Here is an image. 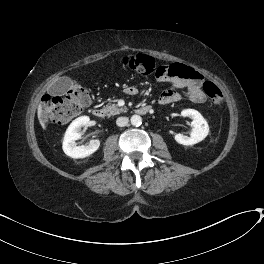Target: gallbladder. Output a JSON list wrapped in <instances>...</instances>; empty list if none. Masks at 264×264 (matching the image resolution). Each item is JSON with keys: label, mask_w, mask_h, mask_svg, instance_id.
I'll list each match as a JSON object with an SVG mask.
<instances>
[{"label": "gallbladder", "mask_w": 264, "mask_h": 264, "mask_svg": "<svg viewBox=\"0 0 264 264\" xmlns=\"http://www.w3.org/2000/svg\"><path fill=\"white\" fill-rule=\"evenodd\" d=\"M72 86H73L72 79H70L69 77H62L56 83L52 85V87L50 88V91L52 93L63 94Z\"/></svg>", "instance_id": "bac80fb5"}]
</instances>
